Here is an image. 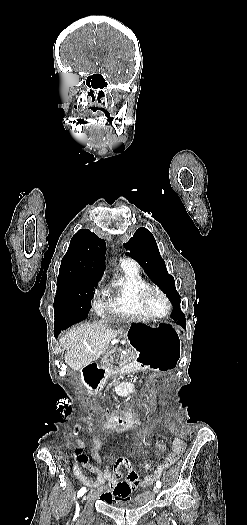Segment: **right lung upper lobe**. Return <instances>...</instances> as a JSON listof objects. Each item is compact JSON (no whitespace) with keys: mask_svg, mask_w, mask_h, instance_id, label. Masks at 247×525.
I'll list each match as a JSON object with an SVG mask.
<instances>
[{"mask_svg":"<svg viewBox=\"0 0 247 525\" xmlns=\"http://www.w3.org/2000/svg\"><path fill=\"white\" fill-rule=\"evenodd\" d=\"M105 253V241L88 229H81L72 237L59 272L78 271L102 276Z\"/></svg>","mask_w":247,"mask_h":525,"instance_id":"right-lung-upper-lobe-1","label":"right lung upper lobe"}]
</instances>
